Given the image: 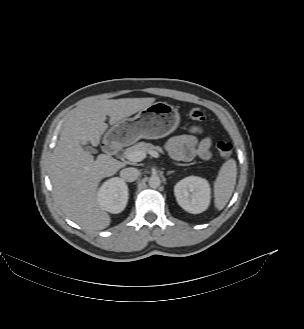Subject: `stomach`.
Here are the masks:
<instances>
[{
    "instance_id": "obj_1",
    "label": "stomach",
    "mask_w": 304,
    "mask_h": 329,
    "mask_svg": "<svg viewBox=\"0 0 304 329\" xmlns=\"http://www.w3.org/2000/svg\"><path fill=\"white\" fill-rule=\"evenodd\" d=\"M178 110L166 103L156 102L140 110L133 118L113 125L104 135V143L111 147L126 146L141 138L159 139L172 133L179 125Z\"/></svg>"
}]
</instances>
